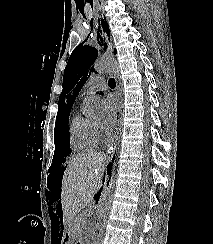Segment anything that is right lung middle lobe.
<instances>
[{
  "label": "right lung middle lobe",
  "instance_id": "dd1d6c3e",
  "mask_svg": "<svg viewBox=\"0 0 213 244\" xmlns=\"http://www.w3.org/2000/svg\"><path fill=\"white\" fill-rule=\"evenodd\" d=\"M69 114L68 112L65 116L67 118V122L65 123V128L63 126H56L55 131V151L53 156V162L49 170V179L57 177L59 171L63 170V163L71 153L70 143H69V134L67 131V124L69 121Z\"/></svg>",
  "mask_w": 213,
  "mask_h": 244
}]
</instances>
